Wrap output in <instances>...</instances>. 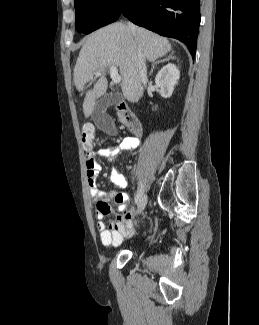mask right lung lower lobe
<instances>
[{"label": "right lung lower lobe", "instance_id": "98d812e1", "mask_svg": "<svg viewBox=\"0 0 259 325\" xmlns=\"http://www.w3.org/2000/svg\"><path fill=\"white\" fill-rule=\"evenodd\" d=\"M122 14L136 25L180 40L195 55L200 0H126Z\"/></svg>", "mask_w": 259, "mask_h": 325}]
</instances>
